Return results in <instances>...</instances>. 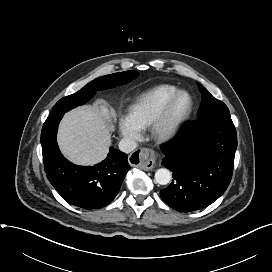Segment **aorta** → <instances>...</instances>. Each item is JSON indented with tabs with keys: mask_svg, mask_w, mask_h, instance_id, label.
<instances>
[{
	"mask_svg": "<svg viewBox=\"0 0 272 272\" xmlns=\"http://www.w3.org/2000/svg\"><path fill=\"white\" fill-rule=\"evenodd\" d=\"M171 172L166 168L158 169L155 173V181L160 185H166L171 181Z\"/></svg>",
	"mask_w": 272,
	"mask_h": 272,
	"instance_id": "762f6f07",
	"label": "aorta"
}]
</instances>
